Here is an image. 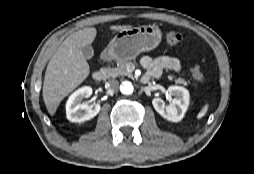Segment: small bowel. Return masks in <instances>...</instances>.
Wrapping results in <instances>:
<instances>
[{
    "mask_svg": "<svg viewBox=\"0 0 254 174\" xmlns=\"http://www.w3.org/2000/svg\"><path fill=\"white\" fill-rule=\"evenodd\" d=\"M142 66L146 69L145 78H157L159 77L163 70L169 69L178 71L181 69V63L177 58L169 56H161L157 58H152L150 56H144L141 59Z\"/></svg>",
    "mask_w": 254,
    "mask_h": 174,
    "instance_id": "obj_1",
    "label": "small bowel"
}]
</instances>
